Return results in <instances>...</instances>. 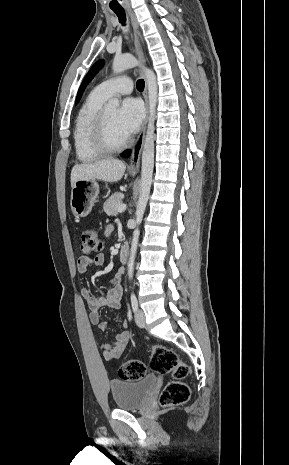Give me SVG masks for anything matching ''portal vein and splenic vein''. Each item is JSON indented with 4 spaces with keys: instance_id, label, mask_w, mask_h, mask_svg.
Masks as SVG:
<instances>
[{
    "instance_id": "1",
    "label": "portal vein and splenic vein",
    "mask_w": 289,
    "mask_h": 465,
    "mask_svg": "<svg viewBox=\"0 0 289 465\" xmlns=\"http://www.w3.org/2000/svg\"><path fill=\"white\" fill-rule=\"evenodd\" d=\"M125 210H126V205L125 204H121L117 209V211L120 212V213L124 212Z\"/></svg>"
}]
</instances>
